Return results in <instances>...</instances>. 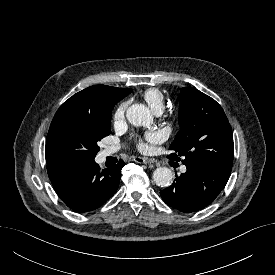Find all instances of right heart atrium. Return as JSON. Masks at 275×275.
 Instances as JSON below:
<instances>
[{"label": "right heart atrium", "mask_w": 275, "mask_h": 275, "mask_svg": "<svg viewBox=\"0 0 275 275\" xmlns=\"http://www.w3.org/2000/svg\"><path fill=\"white\" fill-rule=\"evenodd\" d=\"M127 108V103H122L115 111L114 123L119 124L124 120L125 110Z\"/></svg>", "instance_id": "right-heart-atrium-1"}]
</instances>
